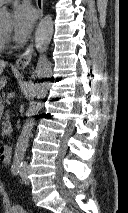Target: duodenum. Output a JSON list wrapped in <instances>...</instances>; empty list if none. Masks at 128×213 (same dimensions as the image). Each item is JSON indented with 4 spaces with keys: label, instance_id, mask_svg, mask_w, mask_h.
Segmentation results:
<instances>
[{
    "label": "duodenum",
    "instance_id": "duodenum-1",
    "mask_svg": "<svg viewBox=\"0 0 128 213\" xmlns=\"http://www.w3.org/2000/svg\"><path fill=\"white\" fill-rule=\"evenodd\" d=\"M12 156V148L8 145L0 146V160L5 163L9 164L11 161Z\"/></svg>",
    "mask_w": 128,
    "mask_h": 213
}]
</instances>
